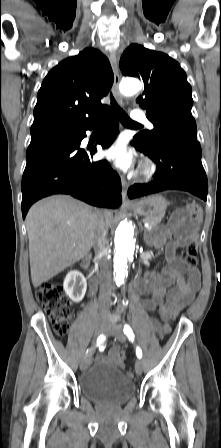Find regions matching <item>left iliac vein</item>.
I'll use <instances>...</instances> for the list:
<instances>
[{
    "label": "left iliac vein",
    "mask_w": 221,
    "mask_h": 448,
    "mask_svg": "<svg viewBox=\"0 0 221 448\" xmlns=\"http://www.w3.org/2000/svg\"><path fill=\"white\" fill-rule=\"evenodd\" d=\"M107 332L108 334L114 336L115 338H117L120 342H124L125 341V337L123 335L122 332V327L120 325H118L117 323H112L108 328H107ZM143 370V364L142 361L140 359H137L135 362V371L137 374H141Z\"/></svg>",
    "instance_id": "obj_1"
}]
</instances>
